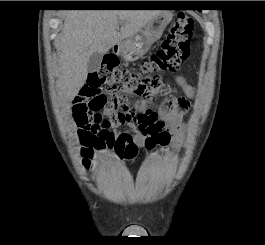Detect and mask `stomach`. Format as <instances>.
<instances>
[{"mask_svg": "<svg viewBox=\"0 0 265 245\" xmlns=\"http://www.w3.org/2000/svg\"><path fill=\"white\" fill-rule=\"evenodd\" d=\"M170 11H161L153 17L139 32L117 44V54L125 61L132 62L143 57L163 34L172 20Z\"/></svg>", "mask_w": 265, "mask_h": 245, "instance_id": "0dacf381", "label": "stomach"}]
</instances>
